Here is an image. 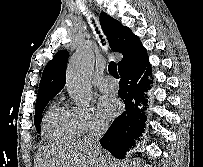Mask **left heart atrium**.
I'll list each match as a JSON object with an SVG mask.
<instances>
[{
  "mask_svg": "<svg viewBox=\"0 0 203 167\" xmlns=\"http://www.w3.org/2000/svg\"><path fill=\"white\" fill-rule=\"evenodd\" d=\"M99 111L105 118L115 117L121 107L120 101L113 95H104L98 103Z\"/></svg>",
  "mask_w": 203,
  "mask_h": 167,
  "instance_id": "1",
  "label": "left heart atrium"
}]
</instances>
